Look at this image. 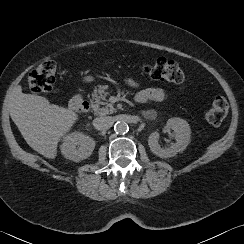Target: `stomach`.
Returning <instances> with one entry per match:
<instances>
[{"label": "stomach", "mask_w": 244, "mask_h": 244, "mask_svg": "<svg viewBox=\"0 0 244 244\" xmlns=\"http://www.w3.org/2000/svg\"><path fill=\"white\" fill-rule=\"evenodd\" d=\"M85 80L86 81H92V78L91 77H87Z\"/></svg>", "instance_id": "0dacf381"}]
</instances>
